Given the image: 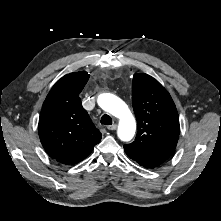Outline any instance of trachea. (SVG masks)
Wrapping results in <instances>:
<instances>
[{"label": "trachea", "mask_w": 221, "mask_h": 221, "mask_svg": "<svg viewBox=\"0 0 221 221\" xmlns=\"http://www.w3.org/2000/svg\"><path fill=\"white\" fill-rule=\"evenodd\" d=\"M101 124H103V125H111L112 124V118L109 115L104 114L101 117Z\"/></svg>", "instance_id": "1"}]
</instances>
